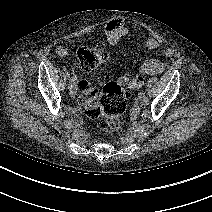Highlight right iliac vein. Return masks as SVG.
<instances>
[{
    "instance_id": "63e3f726",
    "label": "right iliac vein",
    "mask_w": 212,
    "mask_h": 212,
    "mask_svg": "<svg viewBox=\"0 0 212 212\" xmlns=\"http://www.w3.org/2000/svg\"><path fill=\"white\" fill-rule=\"evenodd\" d=\"M69 94L72 97H74L76 95V90L73 86L69 88Z\"/></svg>"
}]
</instances>
